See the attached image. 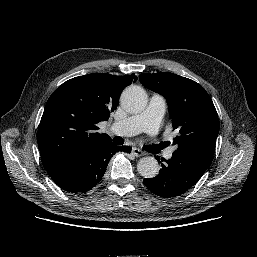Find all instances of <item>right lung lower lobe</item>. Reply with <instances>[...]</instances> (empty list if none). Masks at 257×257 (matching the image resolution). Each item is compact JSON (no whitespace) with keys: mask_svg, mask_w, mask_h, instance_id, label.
<instances>
[{"mask_svg":"<svg viewBox=\"0 0 257 257\" xmlns=\"http://www.w3.org/2000/svg\"><path fill=\"white\" fill-rule=\"evenodd\" d=\"M119 151L131 152V147H118L112 142L72 154L47 169L54 182L72 193L91 190L102 179L110 158Z\"/></svg>","mask_w":257,"mask_h":257,"instance_id":"right-lung-lower-lobe-1","label":"right lung lower lobe"}]
</instances>
